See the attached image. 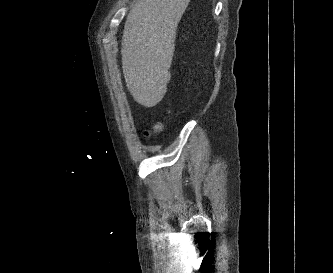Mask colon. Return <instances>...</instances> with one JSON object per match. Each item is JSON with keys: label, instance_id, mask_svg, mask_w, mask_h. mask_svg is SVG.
Returning <instances> with one entry per match:
<instances>
[{"label": "colon", "instance_id": "1", "mask_svg": "<svg viewBox=\"0 0 333 273\" xmlns=\"http://www.w3.org/2000/svg\"><path fill=\"white\" fill-rule=\"evenodd\" d=\"M161 127H162L161 123H156L155 126H154V130L155 131H159L161 129ZM146 135L148 136L149 133L146 132Z\"/></svg>", "mask_w": 333, "mask_h": 273}]
</instances>
